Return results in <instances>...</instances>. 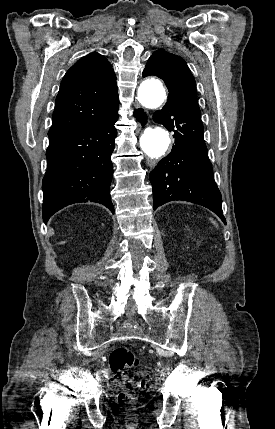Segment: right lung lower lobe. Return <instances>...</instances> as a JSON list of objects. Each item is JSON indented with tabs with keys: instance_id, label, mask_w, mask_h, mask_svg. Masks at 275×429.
Instances as JSON below:
<instances>
[{
	"instance_id": "right-lung-lower-lobe-1",
	"label": "right lung lower lobe",
	"mask_w": 275,
	"mask_h": 429,
	"mask_svg": "<svg viewBox=\"0 0 275 429\" xmlns=\"http://www.w3.org/2000/svg\"><path fill=\"white\" fill-rule=\"evenodd\" d=\"M134 116L146 123L143 110H136ZM117 119L118 114L49 138L48 165L42 185L45 223L62 207L77 202L100 203L114 212L109 192Z\"/></svg>"
}]
</instances>
